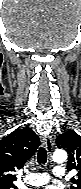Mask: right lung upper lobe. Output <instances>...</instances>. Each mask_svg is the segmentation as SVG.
Returning <instances> with one entry per match:
<instances>
[{
	"label": "right lung upper lobe",
	"mask_w": 81,
	"mask_h": 189,
	"mask_svg": "<svg viewBox=\"0 0 81 189\" xmlns=\"http://www.w3.org/2000/svg\"><path fill=\"white\" fill-rule=\"evenodd\" d=\"M40 140L30 128L17 129L0 141V186L11 185L13 174L35 153Z\"/></svg>",
	"instance_id": "cb5924a9"
}]
</instances>
